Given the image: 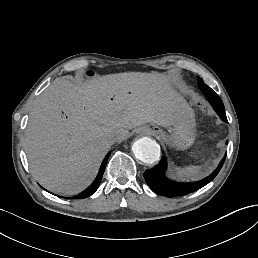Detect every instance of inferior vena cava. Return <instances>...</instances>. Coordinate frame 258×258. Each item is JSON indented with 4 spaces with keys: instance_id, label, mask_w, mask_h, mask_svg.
I'll return each mask as SVG.
<instances>
[{
    "instance_id": "obj_1",
    "label": "inferior vena cava",
    "mask_w": 258,
    "mask_h": 258,
    "mask_svg": "<svg viewBox=\"0 0 258 258\" xmlns=\"http://www.w3.org/2000/svg\"><path fill=\"white\" fill-rule=\"evenodd\" d=\"M105 139L111 145L118 141V136L115 132H110Z\"/></svg>"
}]
</instances>
